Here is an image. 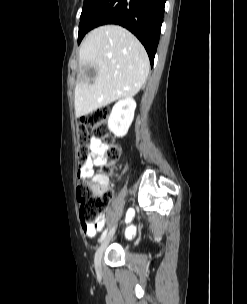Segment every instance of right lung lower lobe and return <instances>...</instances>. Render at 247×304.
<instances>
[{"label":"right lung lower lobe","mask_w":247,"mask_h":304,"mask_svg":"<svg viewBox=\"0 0 247 304\" xmlns=\"http://www.w3.org/2000/svg\"><path fill=\"white\" fill-rule=\"evenodd\" d=\"M165 2L166 0H100L82 20L83 33L85 35L104 24L123 26L141 41L153 66Z\"/></svg>","instance_id":"98d812e1"}]
</instances>
